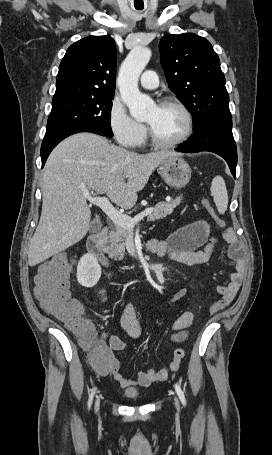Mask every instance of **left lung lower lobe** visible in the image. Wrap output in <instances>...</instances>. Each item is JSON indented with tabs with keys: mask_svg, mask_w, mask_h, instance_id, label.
I'll return each instance as SVG.
<instances>
[{
	"mask_svg": "<svg viewBox=\"0 0 272 455\" xmlns=\"http://www.w3.org/2000/svg\"><path fill=\"white\" fill-rule=\"evenodd\" d=\"M179 152L194 153L209 151L223 157L229 165L231 173L236 177L237 148L232 134V119L209 123L194 131L182 146L175 149Z\"/></svg>",
	"mask_w": 272,
	"mask_h": 455,
	"instance_id": "obj_1",
	"label": "left lung lower lobe"
}]
</instances>
